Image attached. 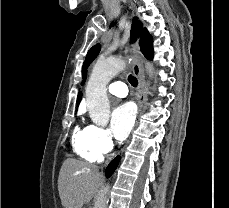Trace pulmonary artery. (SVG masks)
Wrapping results in <instances>:
<instances>
[{
	"label": "pulmonary artery",
	"instance_id": "1",
	"mask_svg": "<svg viewBox=\"0 0 229 208\" xmlns=\"http://www.w3.org/2000/svg\"><path fill=\"white\" fill-rule=\"evenodd\" d=\"M114 77H111V79ZM110 94L117 97H125L128 94L127 86L123 81H113L108 86Z\"/></svg>",
	"mask_w": 229,
	"mask_h": 208
}]
</instances>
